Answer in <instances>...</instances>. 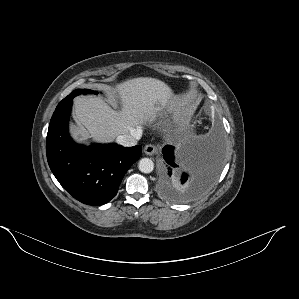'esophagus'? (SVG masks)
<instances>
[{
  "label": "esophagus",
  "mask_w": 299,
  "mask_h": 299,
  "mask_svg": "<svg viewBox=\"0 0 299 299\" xmlns=\"http://www.w3.org/2000/svg\"><path fill=\"white\" fill-rule=\"evenodd\" d=\"M157 151V147L153 144H148L144 147V152L147 155H154Z\"/></svg>",
  "instance_id": "34e87169"
}]
</instances>
